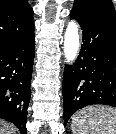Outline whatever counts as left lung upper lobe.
Returning <instances> with one entry per match:
<instances>
[{"label":"left lung upper lobe","instance_id":"1","mask_svg":"<svg viewBox=\"0 0 116 134\" xmlns=\"http://www.w3.org/2000/svg\"><path fill=\"white\" fill-rule=\"evenodd\" d=\"M72 11L116 20V11L111 0H75Z\"/></svg>","mask_w":116,"mask_h":134}]
</instances>
